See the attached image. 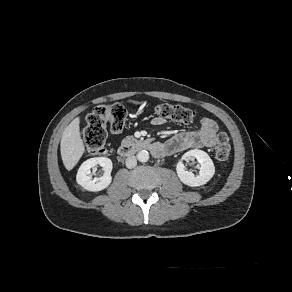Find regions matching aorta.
Wrapping results in <instances>:
<instances>
[{"label":"aorta","mask_w":292,"mask_h":292,"mask_svg":"<svg viewBox=\"0 0 292 292\" xmlns=\"http://www.w3.org/2000/svg\"><path fill=\"white\" fill-rule=\"evenodd\" d=\"M137 159L144 163V162H147L149 160V153L147 150H140L138 153H137Z\"/></svg>","instance_id":"obj_1"}]
</instances>
